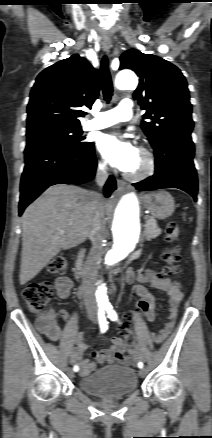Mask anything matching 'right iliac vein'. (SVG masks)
<instances>
[{
	"instance_id": "right-iliac-vein-1",
	"label": "right iliac vein",
	"mask_w": 212,
	"mask_h": 438,
	"mask_svg": "<svg viewBox=\"0 0 212 438\" xmlns=\"http://www.w3.org/2000/svg\"><path fill=\"white\" fill-rule=\"evenodd\" d=\"M68 373L71 377H73V372L71 371V369L68 370Z\"/></svg>"
}]
</instances>
